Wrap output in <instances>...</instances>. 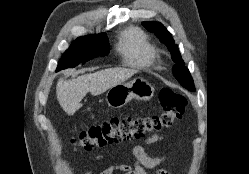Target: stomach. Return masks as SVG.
Masks as SVG:
<instances>
[{"mask_svg":"<svg viewBox=\"0 0 249 174\" xmlns=\"http://www.w3.org/2000/svg\"><path fill=\"white\" fill-rule=\"evenodd\" d=\"M153 94L154 88L147 80L135 78L111 87L106 94V101L109 106L120 108L132 99L150 100Z\"/></svg>","mask_w":249,"mask_h":174,"instance_id":"0dacf381","label":"stomach"}]
</instances>
